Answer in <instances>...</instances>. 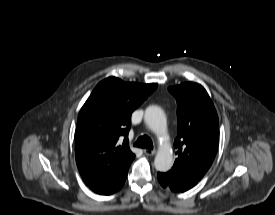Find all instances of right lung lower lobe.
Instances as JSON below:
<instances>
[{
  "label": "right lung lower lobe",
  "mask_w": 275,
  "mask_h": 215,
  "mask_svg": "<svg viewBox=\"0 0 275 215\" xmlns=\"http://www.w3.org/2000/svg\"><path fill=\"white\" fill-rule=\"evenodd\" d=\"M128 169L119 176L108 177L88 185L91 190L98 194L109 195L122 188L127 177Z\"/></svg>",
  "instance_id": "right-lung-lower-lobe-1"
}]
</instances>
